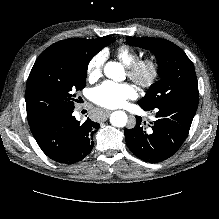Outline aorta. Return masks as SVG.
I'll use <instances>...</instances> for the list:
<instances>
[{
	"instance_id": "1",
	"label": "aorta",
	"mask_w": 219,
	"mask_h": 219,
	"mask_svg": "<svg viewBox=\"0 0 219 219\" xmlns=\"http://www.w3.org/2000/svg\"><path fill=\"white\" fill-rule=\"evenodd\" d=\"M122 71V65L110 61L104 67V74L106 77L117 80ZM127 114L123 111H115L110 116V123L115 127H124L127 124Z\"/></svg>"
}]
</instances>
